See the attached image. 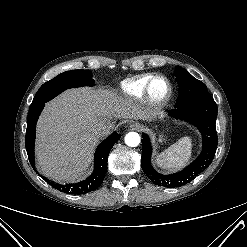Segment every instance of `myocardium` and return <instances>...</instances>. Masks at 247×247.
I'll use <instances>...</instances> for the list:
<instances>
[{"label":"myocardium","mask_w":247,"mask_h":247,"mask_svg":"<svg viewBox=\"0 0 247 247\" xmlns=\"http://www.w3.org/2000/svg\"><path fill=\"white\" fill-rule=\"evenodd\" d=\"M162 80L166 83L167 85V91L164 95L162 96H157L153 93V85L156 81ZM173 94V86L171 81L164 75H155L153 76L147 83L146 88H145V97L147 101L153 105V106H164L166 105Z\"/></svg>","instance_id":"1"}]
</instances>
